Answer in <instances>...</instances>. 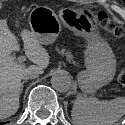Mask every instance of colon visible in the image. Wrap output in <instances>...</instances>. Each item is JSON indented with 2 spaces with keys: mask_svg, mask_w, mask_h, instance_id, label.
Listing matches in <instances>:
<instances>
[{
  "mask_svg": "<svg viewBox=\"0 0 125 125\" xmlns=\"http://www.w3.org/2000/svg\"><path fill=\"white\" fill-rule=\"evenodd\" d=\"M93 18L98 22L102 29L110 33L116 38H122L125 36V29L119 26L105 11H94L92 13ZM119 84L125 87V69H123L118 77Z\"/></svg>",
  "mask_w": 125,
  "mask_h": 125,
  "instance_id": "obj_1",
  "label": "colon"
}]
</instances>
